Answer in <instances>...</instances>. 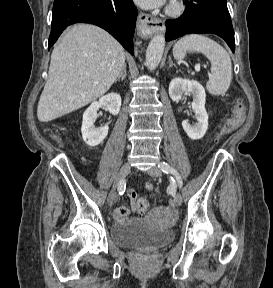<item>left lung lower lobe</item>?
I'll return each mask as SVG.
<instances>
[{
	"label": "left lung lower lobe",
	"instance_id": "1",
	"mask_svg": "<svg viewBox=\"0 0 273 288\" xmlns=\"http://www.w3.org/2000/svg\"><path fill=\"white\" fill-rule=\"evenodd\" d=\"M181 17L166 21V41L190 33H213L222 37L235 51L234 31L227 0H185Z\"/></svg>",
	"mask_w": 273,
	"mask_h": 288
}]
</instances>
